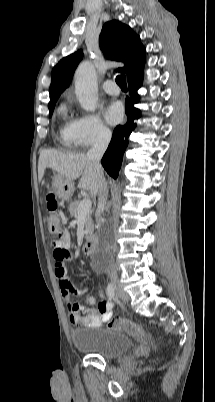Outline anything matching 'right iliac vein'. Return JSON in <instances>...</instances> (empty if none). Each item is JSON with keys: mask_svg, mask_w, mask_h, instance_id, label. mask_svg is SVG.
<instances>
[{"mask_svg": "<svg viewBox=\"0 0 215 402\" xmlns=\"http://www.w3.org/2000/svg\"><path fill=\"white\" fill-rule=\"evenodd\" d=\"M115 290H116L117 295H118L124 302H128V301H129L128 295L122 290V288H120L119 286L115 285Z\"/></svg>", "mask_w": 215, "mask_h": 402, "instance_id": "1", "label": "right iliac vein"}]
</instances>
